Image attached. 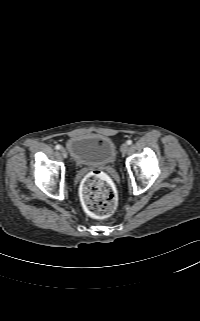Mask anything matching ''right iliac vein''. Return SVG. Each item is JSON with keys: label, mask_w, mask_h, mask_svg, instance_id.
<instances>
[{"label": "right iliac vein", "mask_w": 200, "mask_h": 321, "mask_svg": "<svg viewBox=\"0 0 200 321\" xmlns=\"http://www.w3.org/2000/svg\"><path fill=\"white\" fill-rule=\"evenodd\" d=\"M60 152L64 158L67 156L66 150L64 148H61Z\"/></svg>", "instance_id": "1"}]
</instances>
